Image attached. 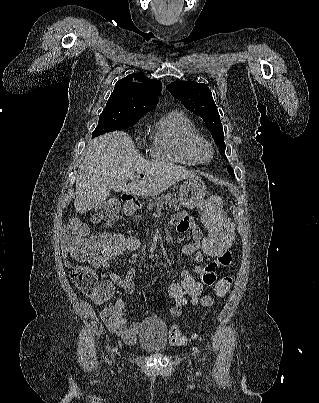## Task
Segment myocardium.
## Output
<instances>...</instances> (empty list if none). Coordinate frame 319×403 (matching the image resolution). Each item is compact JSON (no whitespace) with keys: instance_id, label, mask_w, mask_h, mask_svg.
Returning <instances> with one entry per match:
<instances>
[{"instance_id":"f54148a6","label":"myocardium","mask_w":319,"mask_h":403,"mask_svg":"<svg viewBox=\"0 0 319 403\" xmlns=\"http://www.w3.org/2000/svg\"><path fill=\"white\" fill-rule=\"evenodd\" d=\"M190 148L196 159L201 163H206L212 160L214 155V148L211 142L203 136L197 135L195 136L190 143ZM205 148L208 150L209 158L204 159L202 157V149Z\"/></svg>"}]
</instances>
